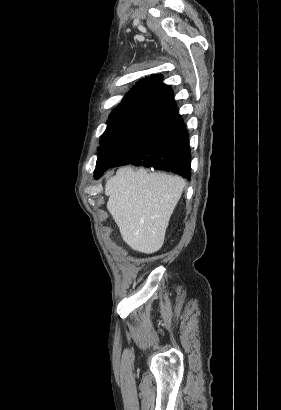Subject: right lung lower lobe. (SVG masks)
Returning a JSON list of instances; mask_svg holds the SVG:
<instances>
[{
  "mask_svg": "<svg viewBox=\"0 0 281 410\" xmlns=\"http://www.w3.org/2000/svg\"><path fill=\"white\" fill-rule=\"evenodd\" d=\"M190 160L189 134L178 108L175 107L148 130L112 167L133 164L171 171L190 179ZM103 173L97 175L95 179L100 178Z\"/></svg>",
  "mask_w": 281,
  "mask_h": 410,
  "instance_id": "obj_1",
  "label": "right lung lower lobe"
}]
</instances>
